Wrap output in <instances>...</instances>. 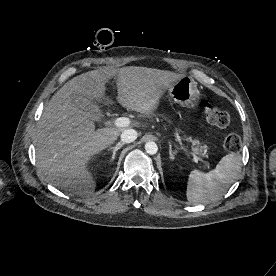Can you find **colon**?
<instances>
[{"label":"colon","mask_w":276,"mask_h":276,"mask_svg":"<svg viewBox=\"0 0 276 276\" xmlns=\"http://www.w3.org/2000/svg\"><path fill=\"white\" fill-rule=\"evenodd\" d=\"M203 106L205 110V117L209 124L218 127L220 129H225L230 124L229 115L215 107L209 101L204 100ZM223 147L230 152H238L241 148L240 137L236 134H227L223 139Z\"/></svg>","instance_id":"1"}]
</instances>
